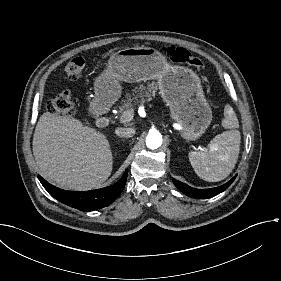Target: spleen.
Instances as JSON below:
<instances>
[{
	"label": "spleen",
	"instance_id": "obj_1",
	"mask_svg": "<svg viewBox=\"0 0 281 281\" xmlns=\"http://www.w3.org/2000/svg\"><path fill=\"white\" fill-rule=\"evenodd\" d=\"M222 126L226 129L216 135L205 151L189 152V161L195 173L208 182H218L229 176L237 163L241 135L237 130L239 121L233 108L227 104Z\"/></svg>",
	"mask_w": 281,
	"mask_h": 281
}]
</instances>
